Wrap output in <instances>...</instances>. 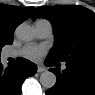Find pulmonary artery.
Listing matches in <instances>:
<instances>
[{"label": "pulmonary artery", "instance_id": "pulmonary-artery-1", "mask_svg": "<svg viewBox=\"0 0 95 95\" xmlns=\"http://www.w3.org/2000/svg\"><path fill=\"white\" fill-rule=\"evenodd\" d=\"M34 30L35 34L38 38H47L51 36L52 34V25L49 21L47 20H38L34 24ZM14 54L11 52L5 53V57H13ZM63 69L66 68V64H63Z\"/></svg>", "mask_w": 95, "mask_h": 95}]
</instances>
